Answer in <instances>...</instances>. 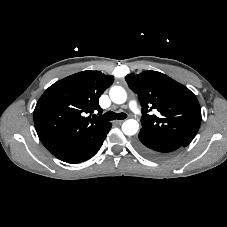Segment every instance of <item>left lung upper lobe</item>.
I'll list each match as a JSON object with an SVG mask.
<instances>
[{
	"label": "left lung upper lobe",
	"mask_w": 227,
	"mask_h": 227,
	"mask_svg": "<svg viewBox=\"0 0 227 227\" xmlns=\"http://www.w3.org/2000/svg\"><path fill=\"white\" fill-rule=\"evenodd\" d=\"M142 106V132L187 146L197 134L201 108L196 96L184 85L157 71L126 76ZM152 109L156 115L148 114Z\"/></svg>",
	"instance_id": "1"
}]
</instances>
